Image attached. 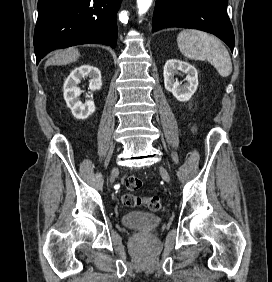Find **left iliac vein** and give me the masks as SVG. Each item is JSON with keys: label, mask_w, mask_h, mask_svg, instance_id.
Listing matches in <instances>:
<instances>
[{"label": "left iliac vein", "mask_w": 272, "mask_h": 282, "mask_svg": "<svg viewBox=\"0 0 272 282\" xmlns=\"http://www.w3.org/2000/svg\"><path fill=\"white\" fill-rule=\"evenodd\" d=\"M160 173H161L162 178H163L166 182H169V181H170L169 174H168L167 170H166L163 166H160Z\"/></svg>", "instance_id": "obj_1"}]
</instances>
